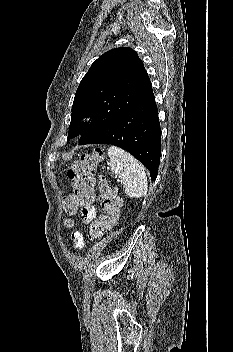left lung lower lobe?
Here are the masks:
<instances>
[{
  "label": "left lung lower lobe",
  "instance_id": "left-lung-lower-lobe-1",
  "mask_svg": "<svg viewBox=\"0 0 233 352\" xmlns=\"http://www.w3.org/2000/svg\"><path fill=\"white\" fill-rule=\"evenodd\" d=\"M89 144H111L126 150L147 167L155 181L161 156V130L154 94L123 114Z\"/></svg>",
  "mask_w": 233,
  "mask_h": 352
}]
</instances>
